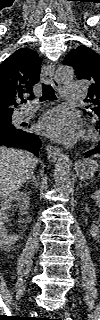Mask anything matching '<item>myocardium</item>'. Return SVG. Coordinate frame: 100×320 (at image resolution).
I'll return each instance as SVG.
<instances>
[{"instance_id":"f54148a6","label":"myocardium","mask_w":100,"mask_h":320,"mask_svg":"<svg viewBox=\"0 0 100 320\" xmlns=\"http://www.w3.org/2000/svg\"><path fill=\"white\" fill-rule=\"evenodd\" d=\"M93 137V132H92V130H87L86 132H85V138L86 139H91Z\"/></svg>"}]
</instances>
